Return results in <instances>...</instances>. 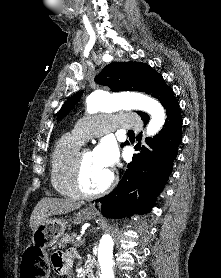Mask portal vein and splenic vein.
Returning a JSON list of instances; mask_svg holds the SVG:
<instances>
[{"label": "portal vein and splenic vein", "instance_id": "1", "mask_svg": "<svg viewBox=\"0 0 221 278\" xmlns=\"http://www.w3.org/2000/svg\"><path fill=\"white\" fill-rule=\"evenodd\" d=\"M84 241H85V238L79 240L78 244L81 245L82 243H84Z\"/></svg>", "mask_w": 221, "mask_h": 278}]
</instances>
